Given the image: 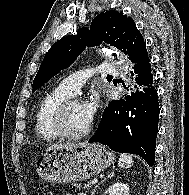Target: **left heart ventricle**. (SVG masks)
Wrapping results in <instances>:
<instances>
[{
	"instance_id": "obj_1",
	"label": "left heart ventricle",
	"mask_w": 189,
	"mask_h": 195,
	"mask_svg": "<svg viewBox=\"0 0 189 195\" xmlns=\"http://www.w3.org/2000/svg\"><path fill=\"white\" fill-rule=\"evenodd\" d=\"M91 120L87 116L84 104L74 105L68 112L66 118V127L69 132L78 134L82 132L89 124Z\"/></svg>"
}]
</instances>
